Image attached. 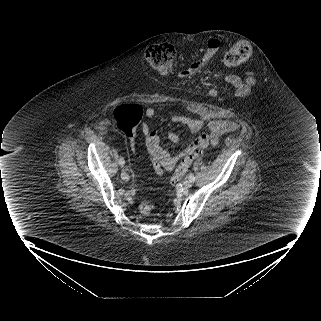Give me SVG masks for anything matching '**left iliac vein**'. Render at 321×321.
<instances>
[{"instance_id":"4c4485c4","label":"left iliac vein","mask_w":321,"mask_h":321,"mask_svg":"<svg viewBox=\"0 0 321 321\" xmlns=\"http://www.w3.org/2000/svg\"><path fill=\"white\" fill-rule=\"evenodd\" d=\"M191 186H192V181L190 179H187L183 182L184 190H189Z\"/></svg>"}]
</instances>
